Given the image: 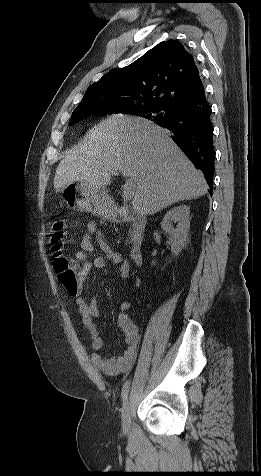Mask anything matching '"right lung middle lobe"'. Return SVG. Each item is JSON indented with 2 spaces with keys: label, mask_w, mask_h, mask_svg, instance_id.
<instances>
[{
  "label": "right lung middle lobe",
  "mask_w": 261,
  "mask_h": 476,
  "mask_svg": "<svg viewBox=\"0 0 261 476\" xmlns=\"http://www.w3.org/2000/svg\"><path fill=\"white\" fill-rule=\"evenodd\" d=\"M173 111L174 108L163 105H148L128 110L126 107L120 105L88 104L80 106L73 111L70 125L93 114L124 113L141 116L155 121L167 118Z\"/></svg>",
  "instance_id": "right-lung-middle-lobe-1"
}]
</instances>
